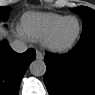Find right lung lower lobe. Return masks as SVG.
<instances>
[{
    "mask_svg": "<svg viewBox=\"0 0 95 95\" xmlns=\"http://www.w3.org/2000/svg\"><path fill=\"white\" fill-rule=\"evenodd\" d=\"M33 49L16 53L4 41L0 43V95H17L22 77L35 59Z\"/></svg>",
    "mask_w": 95,
    "mask_h": 95,
    "instance_id": "obj_1",
    "label": "right lung lower lobe"
}]
</instances>
